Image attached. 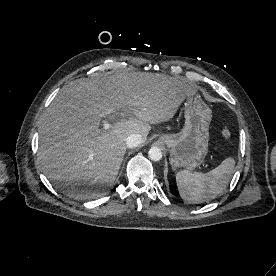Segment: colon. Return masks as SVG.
<instances>
[{
	"label": "colon",
	"instance_id": "1",
	"mask_svg": "<svg viewBox=\"0 0 276 276\" xmlns=\"http://www.w3.org/2000/svg\"><path fill=\"white\" fill-rule=\"evenodd\" d=\"M222 138L226 143H230L231 142V137H230V133L227 129H223L222 130Z\"/></svg>",
	"mask_w": 276,
	"mask_h": 276
}]
</instances>
